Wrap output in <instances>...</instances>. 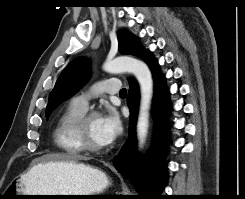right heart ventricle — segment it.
<instances>
[{
	"instance_id": "e07e8e85",
	"label": "right heart ventricle",
	"mask_w": 245,
	"mask_h": 199,
	"mask_svg": "<svg viewBox=\"0 0 245 199\" xmlns=\"http://www.w3.org/2000/svg\"><path fill=\"white\" fill-rule=\"evenodd\" d=\"M84 113L85 110L69 104L59 117L54 129V140L57 146L69 155H78L84 151L74 134L75 124Z\"/></svg>"
}]
</instances>
